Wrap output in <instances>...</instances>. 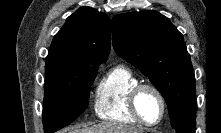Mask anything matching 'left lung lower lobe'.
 I'll return each instance as SVG.
<instances>
[{"label":"left lung lower lobe","instance_id":"obj_1","mask_svg":"<svg viewBox=\"0 0 221 133\" xmlns=\"http://www.w3.org/2000/svg\"><path fill=\"white\" fill-rule=\"evenodd\" d=\"M188 133H195V131H193V132H188Z\"/></svg>","mask_w":221,"mask_h":133}]
</instances>
